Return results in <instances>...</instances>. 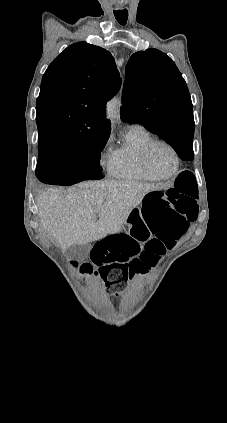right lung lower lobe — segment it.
Segmentation results:
<instances>
[{
	"label": "right lung lower lobe",
	"mask_w": 227,
	"mask_h": 423,
	"mask_svg": "<svg viewBox=\"0 0 227 423\" xmlns=\"http://www.w3.org/2000/svg\"><path fill=\"white\" fill-rule=\"evenodd\" d=\"M37 178L47 184L70 186L82 180L67 172L59 164L50 161H38L36 168Z\"/></svg>",
	"instance_id": "98d812e1"
}]
</instances>
